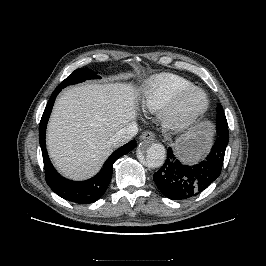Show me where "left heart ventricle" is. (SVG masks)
Here are the masks:
<instances>
[{
    "mask_svg": "<svg viewBox=\"0 0 266 266\" xmlns=\"http://www.w3.org/2000/svg\"><path fill=\"white\" fill-rule=\"evenodd\" d=\"M203 104V98L198 93H190L184 100V108L188 111H193L201 107Z\"/></svg>",
    "mask_w": 266,
    "mask_h": 266,
    "instance_id": "b2bd125f",
    "label": "left heart ventricle"
}]
</instances>
